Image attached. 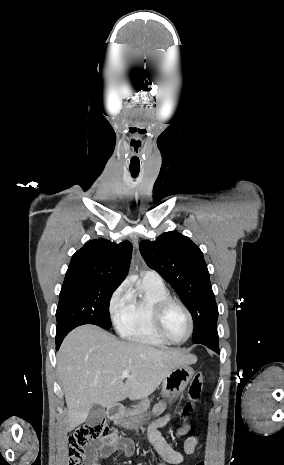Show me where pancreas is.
I'll list each match as a JSON object with an SVG mask.
<instances>
[{"label": "pancreas", "mask_w": 284, "mask_h": 465, "mask_svg": "<svg viewBox=\"0 0 284 465\" xmlns=\"http://www.w3.org/2000/svg\"><path fill=\"white\" fill-rule=\"evenodd\" d=\"M150 407V401L148 397H144L143 401H140L139 405H135L132 411H126L125 417H134V415H141L144 411H147Z\"/></svg>", "instance_id": "cf45deb5"}]
</instances>
